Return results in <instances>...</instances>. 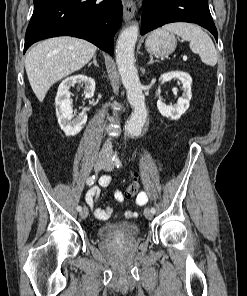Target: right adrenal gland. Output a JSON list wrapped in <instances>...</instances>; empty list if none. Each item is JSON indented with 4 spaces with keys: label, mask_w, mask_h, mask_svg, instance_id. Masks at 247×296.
<instances>
[{
    "label": "right adrenal gland",
    "mask_w": 247,
    "mask_h": 296,
    "mask_svg": "<svg viewBox=\"0 0 247 296\" xmlns=\"http://www.w3.org/2000/svg\"><path fill=\"white\" fill-rule=\"evenodd\" d=\"M92 64H94L96 67H99V65L97 64L96 55H94L93 61L88 64V67H90Z\"/></svg>",
    "instance_id": "2a0ac1e0"
}]
</instances>
